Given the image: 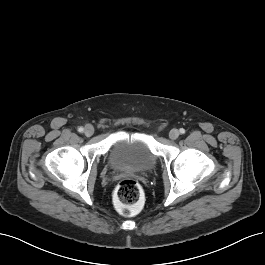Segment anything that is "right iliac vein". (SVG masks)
Returning <instances> with one entry per match:
<instances>
[{"instance_id":"63e3f726","label":"right iliac vein","mask_w":265,"mask_h":265,"mask_svg":"<svg viewBox=\"0 0 265 265\" xmlns=\"http://www.w3.org/2000/svg\"><path fill=\"white\" fill-rule=\"evenodd\" d=\"M93 133H94L93 126L92 125H86V127L84 129V134L89 137V136H92Z\"/></svg>"}]
</instances>
